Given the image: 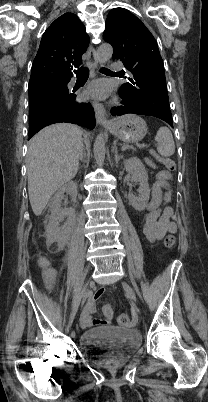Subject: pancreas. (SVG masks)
<instances>
[{
	"mask_svg": "<svg viewBox=\"0 0 208 402\" xmlns=\"http://www.w3.org/2000/svg\"><path fill=\"white\" fill-rule=\"evenodd\" d=\"M131 150H135V148H132V146H131Z\"/></svg>",
	"mask_w": 208,
	"mask_h": 402,
	"instance_id": "cf45deb5",
	"label": "pancreas"
}]
</instances>
